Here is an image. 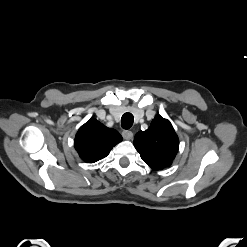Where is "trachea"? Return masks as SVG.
I'll return each instance as SVG.
<instances>
[{"label":"trachea","mask_w":247,"mask_h":247,"mask_svg":"<svg viewBox=\"0 0 247 247\" xmlns=\"http://www.w3.org/2000/svg\"><path fill=\"white\" fill-rule=\"evenodd\" d=\"M134 118L131 113H125L121 118V126L123 129H129L133 125Z\"/></svg>","instance_id":"1"}]
</instances>
